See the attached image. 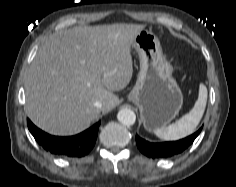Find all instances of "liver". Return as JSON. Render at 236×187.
Segmentation results:
<instances>
[{
	"label": "liver",
	"instance_id": "1",
	"mask_svg": "<svg viewBox=\"0 0 236 187\" xmlns=\"http://www.w3.org/2000/svg\"><path fill=\"white\" fill-rule=\"evenodd\" d=\"M144 28L123 23L79 26L50 36L25 78L31 121L50 134L69 136L88 128L101 111L116 107L119 99L113 92L132 78L130 49ZM96 101L102 108L94 106Z\"/></svg>",
	"mask_w": 236,
	"mask_h": 187
}]
</instances>
